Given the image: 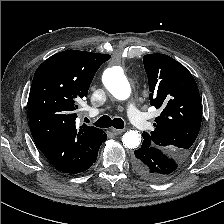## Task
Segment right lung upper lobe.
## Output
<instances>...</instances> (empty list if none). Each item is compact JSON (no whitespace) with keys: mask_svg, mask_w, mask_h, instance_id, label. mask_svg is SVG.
I'll list each match as a JSON object with an SVG mask.
<instances>
[{"mask_svg":"<svg viewBox=\"0 0 224 224\" xmlns=\"http://www.w3.org/2000/svg\"><path fill=\"white\" fill-rule=\"evenodd\" d=\"M110 55L78 50L56 53L36 70L28 115L32 137L49 162L64 173H79L106 138L103 130L76 127L77 101Z\"/></svg>","mask_w":224,"mask_h":224,"instance_id":"cb5924a9","label":"right lung upper lobe"}]
</instances>
